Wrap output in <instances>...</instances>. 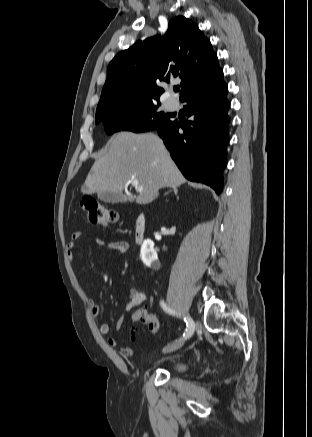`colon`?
I'll return each instance as SVG.
<instances>
[{"mask_svg":"<svg viewBox=\"0 0 312 437\" xmlns=\"http://www.w3.org/2000/svg\"><path fill=\"white\" fill-rule=\"evenodd\" d=\"M81 209L86 218L94 224L108 225L116 222L117 214L109 209L105 204L93 197L85 196L80 203ZM132 322L144 323L152 333L159 330V322L155 315L148 312L145 308H138L132 315Z\"/></svg>","mask_w":312,"mask_h":437,"instance_id":"1","label":"colon"}]
</instances>
